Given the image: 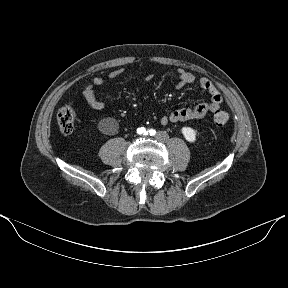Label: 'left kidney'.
Returning a JSON list of instances; mask_svg holds the SVG:
<instances>
[{
	"label": "left kidney",
	"mask_w": 288,
	"mask_h": 288,
	"mask_svg": "<svg viewBox=\"0 0 288 288\" xmlns=\"http://www.w3.org/2000/svg\"><path fill=\"white\" fill-rule=\"evenodd\" d=\"M181 133L183 134L184 138L189 142L196 141L197 132L191 127H183L181 129Z\"/></svg>",
	"instance_id": "5707ae66"
}]
</instances>
